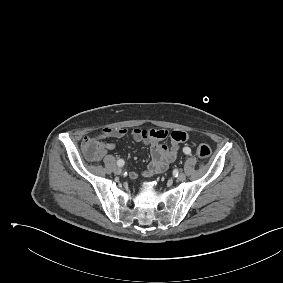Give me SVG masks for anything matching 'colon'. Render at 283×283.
<instances>
[{"label": "colon", "mask_w": 283, "mask_h": 283, "mask_svg": "<svg viewBox=\"0 0 283 283\" xmlns=\"http://www.w3.org/2000/svg\"><path fill=\"white\" fill-rule=\"evenodd\" d=\"M99 133L94 137H85L83 141V149L90 160H98L102 156L103 148L99 141ZM197 155L206 159L211 154V148L207 144H199L196 148Z\"/></svg>", "instance_id": "1"}]
</instances>
